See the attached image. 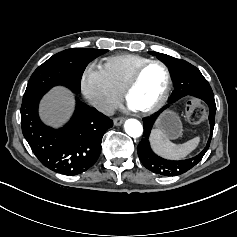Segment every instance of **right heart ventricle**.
Instances as JSON below:
<instances>
[{"instance_id": "1", "label": "right heart ventricle", "mask_w": 237, "mask_h": 237, "mask_svg": "<svg viewBox=\"0 0 237 237\" xmlns=\"http://www.w3.org/2000/svg\"><path fill=\"white\" fill-rule=\"evenodd\" d=\"M149 61L148 58L135 54H120L107 57L102 63L112 85L121 93L136 70Z\"/></svg>"}]
</instances>
